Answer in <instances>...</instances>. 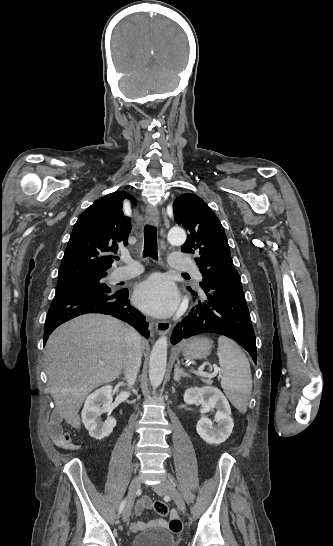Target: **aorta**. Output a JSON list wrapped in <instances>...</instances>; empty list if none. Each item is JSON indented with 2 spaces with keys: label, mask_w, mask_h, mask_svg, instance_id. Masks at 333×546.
<instances>
[{
  "label": "aorta",
  "mask_w": 333,
  "mask_h": 546,
  "mask_svg": "<svg viewBox=\"0 0 333 546\" xmlns=\"http://www.w3.org/2000/svg\"><path fill=\"white\" fill-rule=\"evenodd\" d=\"M167 240L172 245H182L186 240V233L182 228L173 227L168 231ZM166 336L160 337L154 344L149 361V379L153 388H157L163 381L167 362Z\"/></svg>",
  "instance_id": "1"
}]
</instances>
